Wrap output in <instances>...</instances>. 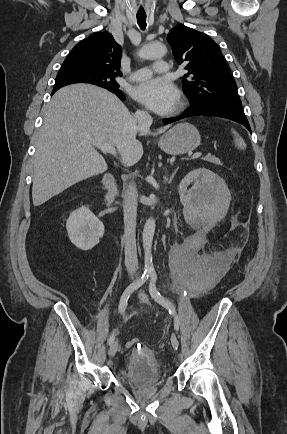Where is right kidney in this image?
Wrapping results in <instances>:
<instances>
[{"instance_id":"right-kidney-1","label":"right kidney","mask_w":287,"mask_h":434,"mask_svg":"<svg viewBox=\"0 0 287 434\" xmlns=\"http://www.w3.org/2000/svg\"><path fill=\"white\" fill-rule=\"evenodd\" d=\"M70 241L80 250H90L104 234L103 223L89 210L80 207L73 211L66 223Z\"/></svg>"}]
</instances>
